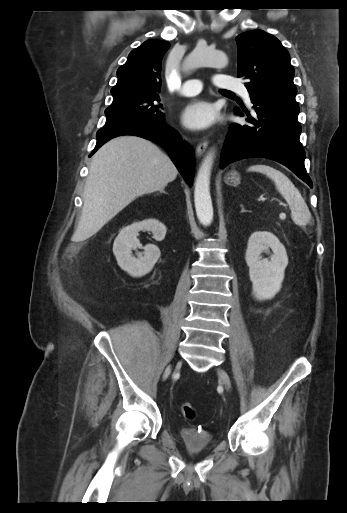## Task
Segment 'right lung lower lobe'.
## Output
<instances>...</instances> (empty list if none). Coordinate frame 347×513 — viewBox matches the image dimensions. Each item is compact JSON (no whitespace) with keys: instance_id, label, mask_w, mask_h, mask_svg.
<instances>
[{"instance_id":"98d812e1","label":"right lung lower lobe","mask_w":347,"mask_h":513,"mask_svg":"<svg viewBox=\"0 0 347 513\" xmlns=\"http://www.w3.org/2000/svg\"><path fill=\"white\" fill-rule=\"evenodd\" d=\"M134 135L152 140L164 147L177 169L189 186L194 177V157L191 148L182 141L176 130L170 128L165 120L152 122L142 118H124L108 122L97 132L95 153L108 140L121 136Z\"/></svg>"}]
</instances>
